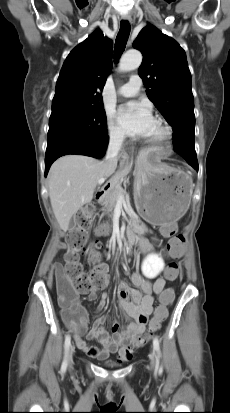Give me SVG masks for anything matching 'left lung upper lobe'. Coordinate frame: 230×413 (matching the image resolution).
Here are the masks:
<instances>
[{"mask_svg": "<svg viewBox=\"0 0 230 413\" xmlns=\"http://www.w3.org/2000/svg\"><path fill=\"white\" fill-rule=\"evenodd\" d=\"M133 47L143 55L138 74L148 98L173 127L175 151L195 155L194 98L185 51L151 24L140 31Z\"/></svg>", "mask_w": 230, "mask_h": 413, "instance_id": "1", "label": "left lung upper lobe"}]
</instances>
